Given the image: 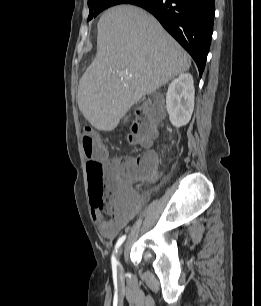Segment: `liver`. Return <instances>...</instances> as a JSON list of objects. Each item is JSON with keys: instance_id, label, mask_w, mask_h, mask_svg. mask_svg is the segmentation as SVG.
<instances>
[{"instance_id": "1", "label": "liver", "mask_w": 261, "mask_h": 306, "mask_svg": "<svg viewBox=\"0 0 261 306\" xmlns=\"http://www.w3.org/2000/svg\"><path fill=\"white\" fill-rule=\"evenodd\" d=\"M97 54L78 87V105L96 129L114 130L143 96L188 71L191 58L149 13L132 5L105 11Z\"/></svg>"}]
</instances>
